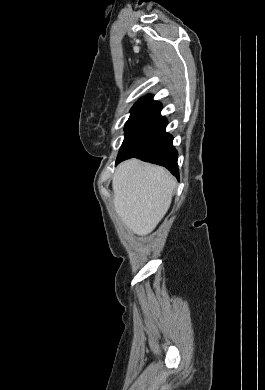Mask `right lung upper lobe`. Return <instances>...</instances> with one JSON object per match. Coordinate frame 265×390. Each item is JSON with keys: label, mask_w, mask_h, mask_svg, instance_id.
Instances as JSON below:
<instances>
[{"label": "right lung upper lobe", "mask_w": 265, "mask_h": 390, "mask_svg": "<svg viewBox=\"0 0 265 390\" xmlns=\"http://www.w3.org/2000/svg\"><path fill=\"white\" fill-rule=\"evenodd\" d=\"M140 100H150V101H153V96L152 95H147L145 97H142Z\"/></svg>", "instance_id": "right-lung-upper-lobe-1"}]
</instances>
